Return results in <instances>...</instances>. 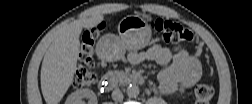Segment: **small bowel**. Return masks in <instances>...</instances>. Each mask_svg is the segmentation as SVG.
Wrapping results in <instances>:
<instances>
[{
    "label": "small bowel",
    "instance_id": "c3829d8e",
    "mask_svg": "<svg viewBox=\"0 0 252 104\" xmlns=\"http://www.w3.org/2000/svg\"><path fill=\"white\" fill-rule=\"evenodd\" d=\"M128 61L131 64L152 61L160 66H167L158 75L159 89L163 94L184 93L201 77L198 59L180 44L171 48L155 44L144 52L130 53Z\"/></svg>",
    "mask_w": 252,
    "mask_h": 104
}]
</instances>
